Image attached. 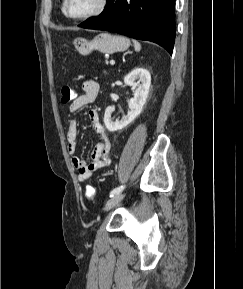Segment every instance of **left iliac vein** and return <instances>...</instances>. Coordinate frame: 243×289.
<instances>
[{
  "instance_id": "left-iliac-vein-1",
  "label": "left iliac vein",
  "mask_w": 243,
  "mask_h": 289,
  "mask_svg": "<svg viewBox=\"0 0 243 289\" xmlns=\"http://www.w3.org/2000/svg\"><path fill=\"white\" fill-rule=\"evenodd\" d=\"M124 194H116L114 195L110 200L107 201L104 210L108 211L111 208H113L115 205H117L123 198Z\"/></svg>"
}]
</instances>
